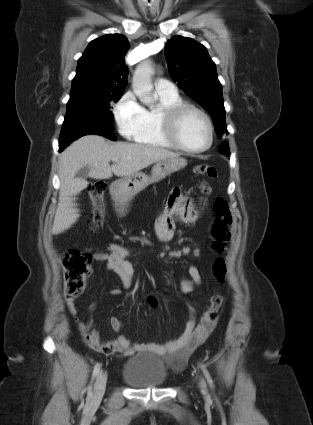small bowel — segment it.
<instances>
[{
    "instance_id": "c3829d8e",
    "label": "small bowel",
    "mask_w": 313,
    "mask_h": 425,
    "mask_svg": "<svg viewBox=\"0 0 313 425\" xmlns=\"http://www.w3.org/2000/svg\"><path fill=\"white\" fill-rule=\"evenodd\" d=\"M197 219L198 214L194 209L193 202L181 193L180 188L176 187L169 195L164 213L158 218L155 224L156 236L161 241H168L173 237L177 221L193 223ZM191 251L190 247L185 246L181 249L170 251L169 256L172 258H181L190 254ZM128 256V249L119 244L111 243L108 245V252H96L93 258L97 262H104L108 270L113 271L119 276L123 288L127 289L132 286L134 273L133 265L128 260ZM188 273L190 279L183 280L180 285L183 293H190L196 286L201 284V275L195 265L189 266ZM110 293L112 295H119L121 289H112ZM67 304L85 341L89 346L105 355H112L119 352L125 356H131L139 351H151L168 357L177 356L186 358L197 346L206 340L217 320V315H213L210 312V303L199 319H197L193 307L189 306L190 318L182 334L175 340L167 341L163 344L155 342L143 344L132 342L122 335L113 340H104L95 328L91 317H88L84 322L76 317L77 310L75 308L74 298H67ZM94 307V304L90 306L89 311H92ZM110 326L113 331L118 332L122 328V321L117 317H111Z\"/></svg>"
}]
</instances>
